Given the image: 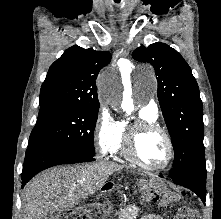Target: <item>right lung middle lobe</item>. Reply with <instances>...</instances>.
Listing matches in <instances>:
<instances>
[{"instance_id":"dd1d6c3e","label":"right lung middle lobe","mask_w":221,"mask_h":219,"mask_svg":"<svg viewBox=\"0 0 221 219\" xmlns=\"http://www.w3.org/2000/svg\"><path fill=\"white\" fill-rule=\"evenodd\" d=\"M29 144L40 141L74 153L95 156L94 130L99 106L46 103L40 105Z\"/></svg>"}]
</instances>
